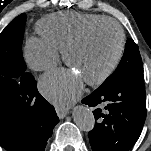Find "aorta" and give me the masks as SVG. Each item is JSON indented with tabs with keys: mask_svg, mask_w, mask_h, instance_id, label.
Returning <instances> with one entry per match:
<instances>
[{
	"mask_svg": "<svg viewBox=\"0 0 151 151\" xmlns=\"http://www.w3.org/2000/svg\"><path fill=\"white\" fill-rule=\"evenodd\" d=\"M74 122L80 130L89 132L94 128L95 118L92 111L85 106H76L72 112Z\"/></svg>",
	"mask_w": 151,
	"mask_h": 151,
	"instance_id": "obj_1",
	"label": "aorta"
}]
</instances>
